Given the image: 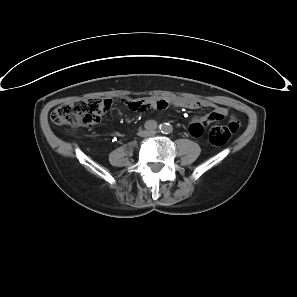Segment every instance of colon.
<instances>
[{
	"label": "colon",
	"instance_id": "5ec220e1",
	"mask_svg": "<svg viewBox=\"0 0 297 297\" xmlns=\"http://www.w3.org/2000/svg\"><path fill=\"white\" fill-rule=\"evenodd\" d=\"M111 101L102 98H89L67 102L58 106L51 114V121L56 125L92 126L99 123L109 110ZM240 122L232 119L228 124L213 126L209 132V141L221 146L239 129Z\"/></svg>",
	"mask_w": 297,
	"mask_h": 297
}]
</instances>
